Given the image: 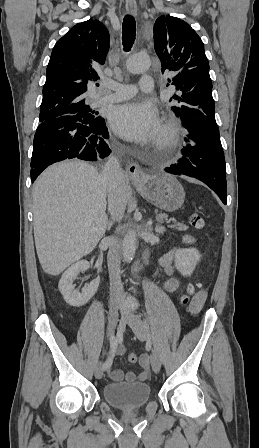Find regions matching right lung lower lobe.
<instances>
[{
  "instance_id": "right-lung-lower-lobe-1",
  "label": "right lung lower lobe",
  "mask_w": 259,
  "mask_h": 448,
  "mask_svg": "<svg viewBox=\"0 0 259 448\" xmlns=\"http://www.w3.org/2000/svg\"><path fill=\"white\" fill-rule=\"evenodd\" d=\"M105 120L85 124L75 116H62L41 123L35 133L31 158L34 182L49 165L71 158L96 161L111 153L105 139Z\"/></svg>"
}]
</instances>
